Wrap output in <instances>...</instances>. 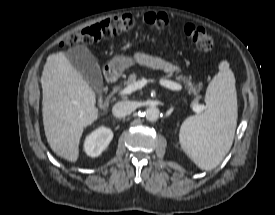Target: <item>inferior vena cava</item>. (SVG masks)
Wrapping results in <instances>:
<instances>
[{"label":"inferior vena cava","mask_w":275,"mask_h":215,"mask_svg":"<svg viewBox=\"0 0 275 215\" xmlns=\"http://www.w3.org/2000/svg\"><path fill=\"white\" fill-rule=\"evenodd\" d=\"M134 104L130 101H121L113 106L112 113L117 118H123L134 111Z\"/></svg>","instance_id":"obj_1"}]
</instances>
